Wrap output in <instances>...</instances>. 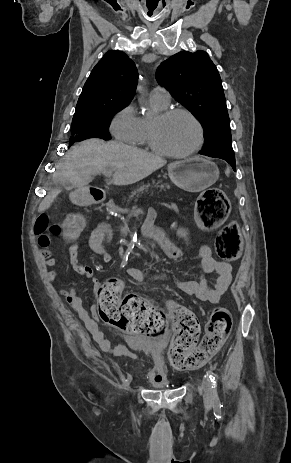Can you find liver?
<instances>
[{
	"instance_id": "1",
	"label": "liver",
	"mask_w": 291,
	"mask_h": 463,
	"mask_svg": "<svg viewBox=\"0 0 291 463\" xmlns=\"http://www.w3.org/2000/svg\"><path fill=\"white\" fill-rule=\"evenodd\" d=\"M165 164L166 160L158 155L120 142L89 139L70 149L53 177L62 184L84 188L95 175L110 169L114 172L110 182L121 186L136 183ZM59 193V189L49 193L38 211L48 209Z\"/></svg>"
}]
</instances>
